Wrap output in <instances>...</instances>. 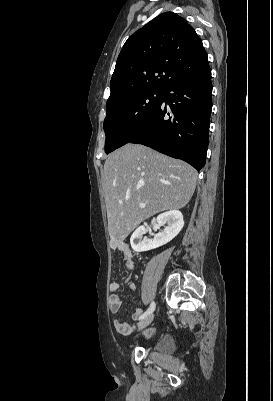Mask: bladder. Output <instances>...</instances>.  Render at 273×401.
Returning <instances> with one entry per match:
<instances>
[{
	"label": "bladder",
	"instance_id": "bladder-1",
	"mask_svg": "<svg viewBox=\"0 0 273 401\" xmlns=\"http://www.w3.org/2000/svg\"><path fill=\"white\" fill-rule=\"evenodd\" d=\"M155 349L157 352H159L161 354L171 353L175 349V341L171 336L164 335L160 339V341Z\"/></svg>",
	"mask_w": 273,
	"mask_h": 401
}]
</instances>
